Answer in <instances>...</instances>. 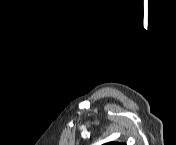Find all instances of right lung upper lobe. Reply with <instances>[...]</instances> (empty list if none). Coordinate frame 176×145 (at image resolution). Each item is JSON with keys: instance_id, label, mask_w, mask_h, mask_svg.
<instances>
[{"instance_id": "right-lung-upper-lobe-1", "label": "right lung upper lobe", "mask_w": 176, "mask_h": 145, "mask_svg": "<svg viewBox=\"0 0 176 145\" xmlns=\"http://www.w3.org/2000/svg\"><path fill=\"white\" fill-rule=\"evenodd\" d=\"M108 145H118V143H108Z\"/></svg>"}]
</instances>
